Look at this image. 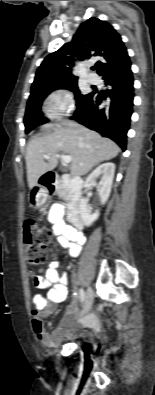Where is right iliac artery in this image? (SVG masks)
Segmentation results:
<instances>
[{
	"label": "right iliac artery",
	"mask_w": 155,
	"mask_h": 395,
	"mask_svg": "<svg viewBox=\"0 0 155 395\" xmlns=\"http://www.w3.org/2000/svg\"><path fill=\"white\" fill-rule=\"evenodd\" d=\"M84 299H85V292H84L83 289H80V300H81V302H83Z\"/></svg>",
	"instance_id": "obj_1"
}]
</instances>
